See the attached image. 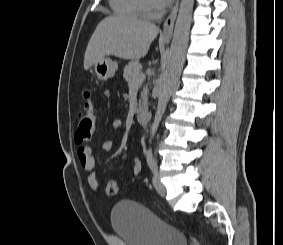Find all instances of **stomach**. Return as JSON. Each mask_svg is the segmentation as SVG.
Returning a JSON list of instances; mask_svg holds the SVG:
<instances>
[{
  "label": "stomach",
  "mask_w": 283,
  "mask_h": 245,
  "mask_svg": "<svg viewBox=\"0 0 283 245\" xmlns=\"http://www.w3.org/2000/svg\"><path fill=\"white\" fill-rule=\"evenodd\" d=\"M117 69V63L110 58L104 57L94 63V72L103 81L113 77Z\"/></svg>",
  "instance_id": "1"
}]
</instances>
